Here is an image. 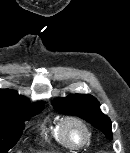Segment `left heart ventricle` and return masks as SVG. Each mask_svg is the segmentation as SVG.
Returning <instances> with one entry per match:
<instances>
[{"mask_svg":"<svg viewBox=\"0 0 130 153\" xmlns=\"http://www.w3.org/2000/svg\"><path fill=\"white\" fill-rule=\"evenodd\" d=\"M67 133L70 140L75 144H80L84 140V133L76 124H70L67 128Z\"/></svg>","mask_w":130,"mask_h":153,"instance_id":"b2bd125f","label":"left heart ventricle"}]
</instances>
